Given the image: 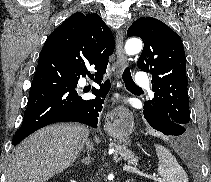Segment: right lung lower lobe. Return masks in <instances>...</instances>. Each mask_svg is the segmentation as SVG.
Masks as SVG:
<instances>
[{
	"label": "right lung lower lobe",
	"instance_id": "obj_1",
	"mask_svg": "<svg viewBox=\"0 0 211 182\" xmlns=\"http://www.w3.org/2000/svg\"><path fill=\"white\" fill-rule=\"evenodd\" d=\"M107 64L101 65L94 53L83 51L67 25L56 28L41 50L23 122L12 144L56 122L74 121L96 128L104 103L101 97L108 94L110 81L100 84V89L92 88L96 96L93 100L82 99L75 88L81 76L90 75V65L97 71L95 80L100 83Z\"/></svg>",
	"mask_w": 211,
	"mask_h": 182
}]
</instances>
